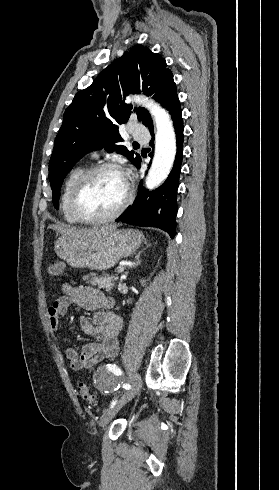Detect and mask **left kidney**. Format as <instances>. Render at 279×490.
Segmentation results:
<instances>
[{
  "label": "left kidney",
  "mask_w": 279,
  "mask_h": 490,
  "mask_svg": "<svg viewBox=\"0 0 279 490\" xmlns=\"http://www.w3.org/2000/svg\"><path fill=\"white\" fill-rule=\"evenodd\" d=\"M141 284H142V286H146L145 280H142Z\"/></svg>",
  "instance_id": "left-kidney-1"
}]
</instances>
